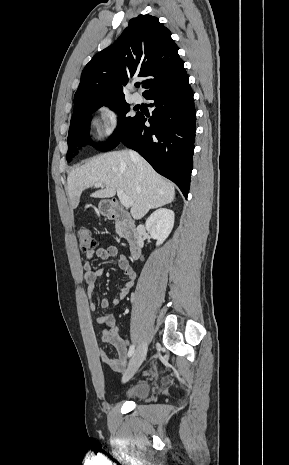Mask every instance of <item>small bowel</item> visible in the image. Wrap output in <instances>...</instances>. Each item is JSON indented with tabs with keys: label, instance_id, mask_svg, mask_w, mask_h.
Here are the masks:
<instances>
[{
	"label": "small bowel",
	"instance_id": "1",
	"mask_svg": "<svg viewBox=\"0 0 289 465\" xmlns=\"http://www.w3.org/2000/svg\"><path fill=\"white\" fill-rule=\"evenodd\" d=\"M109 258H117V264L119 269L123 272L125 276V283L119 289L117 297L113 298L111 301L109 299H103L100 303L101 308L110 309L104 315H98L96 317V322L100 325H105L106 327L102 331V343L104 345H111L116 350L117 357L112 358L108 354L107 350L102 348L99 351V356L102 362L107 364L113 371L122 372L127 365L128 352L127 347L128 343L119 335L118 327L116 326V319L112 309L116 307L121 300H123L129 293L130 289L134 284L136 274L131 268L127 258L124 255H121L118 249L115 246H109L106 248L100 247L87 252V261L84 263V280L87 287V293L90 298L89 307L92 311L96 310V305L92 301L91 297L96 288L98 279L104 274L103 269L93 270L92 261L94 259L107 260Z\"/></svg>",
	"mask_w": 289,
	"mask_h": 465
}]
</instances>
